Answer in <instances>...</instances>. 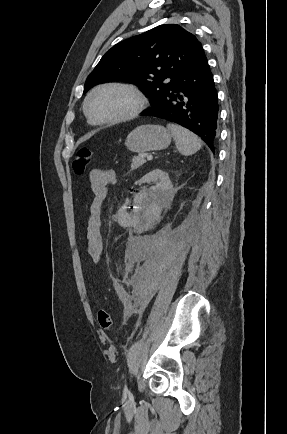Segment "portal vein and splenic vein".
<instances>
[{"label": "portal vein and splenic vein", "instance_id": "18ae733b", "mask_svg": "<svg viewBox=\"0 0 287 434\" xmlns=\"http://www.w3.org/2000/svg\"><path fill=\"white\" fill-rule=\"evenodd\" d=\"M153 159V155H151V154H149V155H147V160H152Z\"/></svg>", "mask_w": 287, "mask_h": 434}]
</instances>
